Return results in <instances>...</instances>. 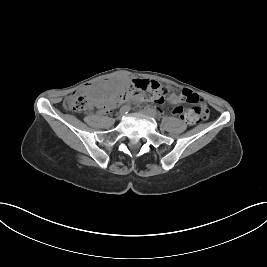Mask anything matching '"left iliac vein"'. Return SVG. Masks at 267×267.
<instances>
[{"mask_svg":"<svg viewBox=\"0 0 267 267\" xmlns=\"http://www.w3.org/2000/svg\"><path fill=\"white\" fill-rule=\"evenodd\" d=\"M140 113L147 117H153L147 110H141Z\"/></svg>","mask_w":267,"mask_h":267,"instance_id":"obj_1","label":"left iliac vein"}]
</instances>
